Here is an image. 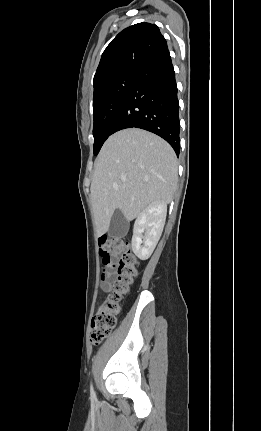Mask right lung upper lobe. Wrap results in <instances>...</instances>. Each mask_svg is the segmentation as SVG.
Masks as SVG:
<instances>
[{
  "label": "right lung upper lobe",
  "instance_id": "1",
  "mask_svg": "<svg viewBox=\"0 0 261 431\" xmlns=\"http://www.w3.org/2000/svg\"><path fill=\"white\" fill-rule=\"evenodd\" d=\"M167 50V42L156 25L143 22L124 29L103 52L94 75V89L122 73L140 72Z\"/></svg>",
  "mask_w": 261,
  "mask_h": 431
}]
</instances>
